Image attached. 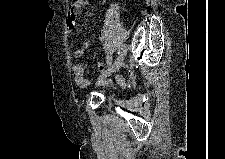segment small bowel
Returning a JSON list of instances; mask_svg holds the SVG:
<instances>
[{
    "instance_id": "small-bowel-1",
    "label": "small bowel",
    "mask_w": 225,
    "mask_h": 159,
    "mask_svg": "<svg viewBox=\"0 0 225 159\" xmlns=\"http://www.w3.org/2000/svg\"><path fill=\"white\" fill-rule=\"evenodd\" d=\"M86 6H87L86 0H77L68 10L66 24H67L69 32L72 35L76 34V19L75 18L78 13L82 12L86 8ZM90 46H91V43L89 41L82 42L80 47L74 51V57L76 58L83 57L85 52L90 48ZM96 67L100 72H104L106 68L105 65L100 62L96 64ZM72 73H73L74 80L79 87L85 88L89 86L90 81L85 76V67L82 64L75 63L73 65ZM115 80L119 86L121 87L127 86V82L122 77L118 76L115 78Z\"/></svg>"
}]
</instances>
